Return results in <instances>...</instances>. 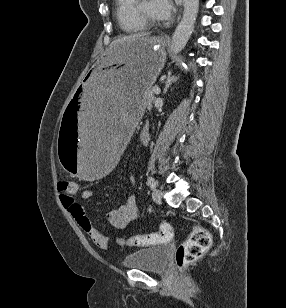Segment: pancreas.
<instances>
[{
	"label": "pancreas",
	"mask_w": 286,
	"mask_h": 308,
	"mask_svg": "<svg viewBox=\"0 0 286 308\" xmlns=\"http://www.w3.org/2000/svg\"><path fill=\"white\" fill-rule=\"evenodd\" d=\"M154 89H155V87L149 88V89H147L146 92H145V98L147 99V101H146V106H147L148 108L152 107V103H153V101H154V99H155Z\"/></svg>",
	"instance_id": "1"
}]
</instances>
